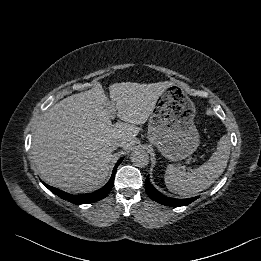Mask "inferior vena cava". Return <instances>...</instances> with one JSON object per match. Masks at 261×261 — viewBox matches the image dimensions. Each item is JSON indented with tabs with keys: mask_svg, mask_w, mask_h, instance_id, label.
Returning a JSON list of instances; mask_svg holds the SVG:
<instances>
[{
	"mask_svg": "<svg viewBox=\"0 0 261 261\" xmlns=\"http://www.w3.org/2000/svg\"><path fill=\"white\" fill-rule=\"evenodd\" d=\"M122 145V143L120 141H114L111 145V148L113 150L117 149L118 147H120Z\"/></svg>",
	"mask_w": 261,
	"mask_h": 261,
	"instance_id": "602c4592",
	"label": "inferior vena cava"
}]
</instances>
